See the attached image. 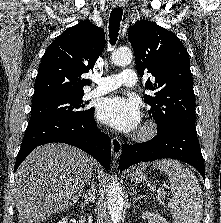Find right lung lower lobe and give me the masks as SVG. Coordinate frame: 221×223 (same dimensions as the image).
Returning <instances> with one entry per match:
<instances>
[{
	"instance_id": "1",
	"label": "right lung lower lobe",
	"mask_w": 221,
	"mask_h": 223,
	"mask_svg": "<svg viewBox=\"0 0 221 223\" xmlns=\"http://www.w3.org/2000/svg\"><path fill=\"white\" fill-rule=\"evenodd\" d=\"M93 114L82 119L51 117L28 124L14 172L34 148L52 142L76 146L92 155L104 168L109 169L111 140L97 128Z\"/></svg>"
}]
</instances>
